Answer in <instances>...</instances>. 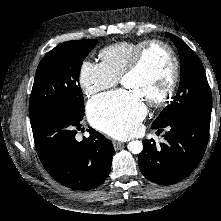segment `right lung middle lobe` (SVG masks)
<instances>
[{
  "mask_svg": "<svg viewBox=\"0 0 221 221\" xmlns=\"http://www.w3.org/2000/svg\"><path fill=\"white\" fill-rule=\"evenodd\" d=\"M97 43V40L69 41L45 55L35 74L29 103L30 119L57 110L83 118L79 73L83 60Z\"/></svg>",
  "mask_w": 221,
  "mask_h": 221,
  "instance_id": "right-lung-middle-lobe-1",
  "label": "right lung middle lobe"
}]
</instances>
